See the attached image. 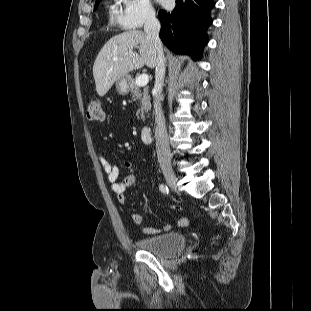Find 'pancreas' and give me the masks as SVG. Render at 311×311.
Segmentation results:
<instances>
[{
    "label": "pancreas",
    "mask_w": 311,
    "mask_h": 311,
    "mask_svg": "<svg viewBox=\"0 0 311 311\" xmlns=\"http://www.w3.org/2000/svg\"><path fill=\"white\" fill-rule=\"evenodd\" d=\"M130 92L134 100H138L140 103V108L137 111L136 115L138 119L145 120L144 114L151 109L150 95L148 87L142 88L138 86L134 79L130 81Z\"/></svg>",
    "instance_id": "1"
}]
</instances>
